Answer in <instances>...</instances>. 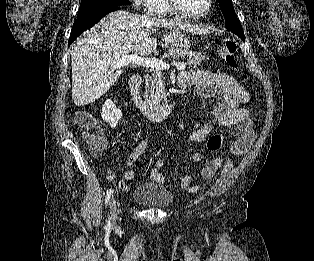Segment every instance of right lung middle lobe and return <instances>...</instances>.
I'll return each instance as SVG.
<instances>
[{"mask_svg": "<svg viewBox=\"0 0 314 261\" xmlns=\"http://www.w3.org/2000/svg\"><path fill=\"white\" fill-rule=\"evenodd\" d=\"M129 0H81L77 19L86 17L101 9L108 8L113 5H126Z\"/></svg>", "mask_w": 314, "mask_h": 261, "instance_id": "right-lung-middle-lobe-1", "label": "right lung middle lobe"}]
</instances>
